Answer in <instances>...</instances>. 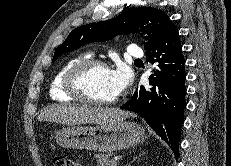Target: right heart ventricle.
I'll list each match as a JSON object with an SVG mask.
<instances>
[{
	"mask_svg": "<svg viewBox=\"0 0 231 166\" xmlns=\"http://www.w3.org/2000/svg\"><path fill=\"white\" fill-rule=\"evenodd\" d=\"M90 58H91V54L89 53L78 54L70 58L59 68V70L54 75L51 81V84H50L49 95L52 100L57 101V102H67L73 99V97L70 96L65 91V88H64L65 75L73 65H75L78 62L90 59Z\"/></svg>",
	"mask_w": 231,
	"mask_h": 166,
	"instance_id": "obj_1",
	"label": "right heart ventricle"
}]
</instances>
